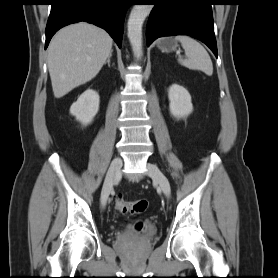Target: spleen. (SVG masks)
<instances>
[{
  "mask_svg": "<svg viewBox=\"0 0 278 278\" xmlns=\"http://www.w3.org/2000/svg\"><path fill=\"white\" fill-rule=\"evenodd\" d=\"M175 40L179 41L185 50L186 58L178 59L181 65L192 70H201L209 76L213 74L211 58L199 42L186 35H178Z\"/></svg>",
  "mask_w": 278,
  "mask_h": 278,
  "instance_id": "obj_1",
  "label": "spleen"
}]
</instances>
